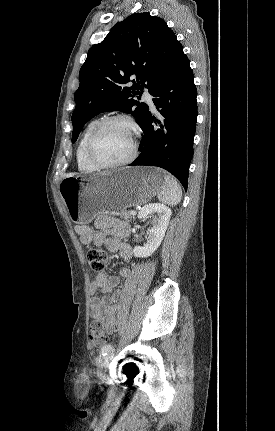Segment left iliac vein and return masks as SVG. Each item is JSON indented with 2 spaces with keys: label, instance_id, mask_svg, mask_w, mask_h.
<instances>
[{
  "label": "left iliac vein",
  "instance_id": "1",
  "mask_svg": "<svg viewBox=\"0 0 275 431\" xmlns=\"http://www.w3.org/2000/svg\"><path fill=\"white\" fill-rule=\"evenodd\" d=\"M113 358V353H108L106 356L102 357L98 363L97 374L102 379L105 377V372L109 367V364Z\"/></svg>",
  "mask_w": 275,
  "mask_h": 431
}]
</instances>
